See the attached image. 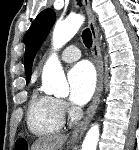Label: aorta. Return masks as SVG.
Instances as JSON below:
<instances>
[{
  "instance_id": "762f6f07",
  "label": "aorta",
  "mask_w": 139,
  "mask_h": 150,
  "mask_svg": "<svg viewBox=\"0 0 139 150\" xmlns=\"http://www.w3.org/2000/svg\"><path fill=\"white\" fill-rule=\"evenodd\" d=\"M85 17L81 14H73L65 20L56 23L53 31V49L57 50L65 45L80 29ZM43 90L48 94L65 96L69 93V87L62 69L56 57L52 55L46 62L42 73ZM99 140V126L94 124L88 130L81 150H96Z\"/></svg>"
}]
</instances>
